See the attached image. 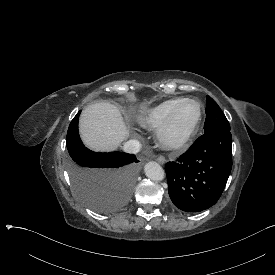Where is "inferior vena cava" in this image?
Instances as JSON below:
<instances>
[{"mask_svg": "<svg viewBox=\"0 0 275 275\" xmlns=\"http://www.w3.org/2000/svg\"><path fill=\"white\" fill-rule=\"evenodd\" d=\"M140 142L138 140H130L123 145L124 152L134 154L140 150Z\"/></svg>", "mask_w": 275, "mask_h": 275, "instance_id": "602c4592", "label": "inferior vena cava"}]
</instances>
